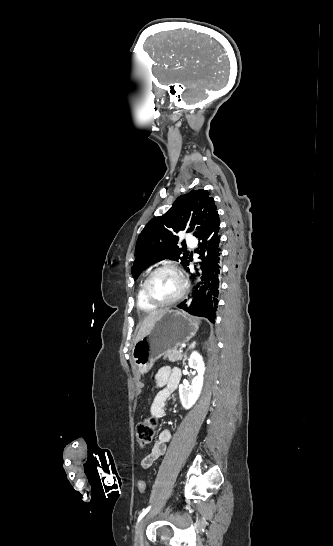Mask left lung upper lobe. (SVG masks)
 I'll list each match as a JSON object with an SVG mask.
<instances>
[{
    "mask_svg": "<svg viewBox=\"0 0 333 546\" xmlns=\"http://www.w3.org/2000/svg\"><path fill=\"white\" fill-rule=\"evenodd\" d=\"M217 214L214 200L206 190H192L179 196L164 215L151 219L138 236L136 258L131 269L134 279L150 265L166 258L180 260L187 268L189 255L178 247L176 233L185 230L190 220L187 231H192L198 224L193 235L199 237Z\"/></svg>",
    "mask_w": 333,
    "mask_h": 546,
    "instance_id": "1",
    "label": "left lung upper lobe"
}]
</instances>
